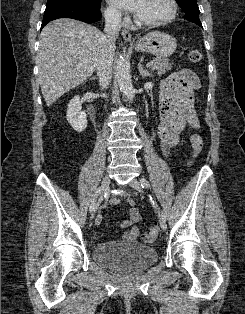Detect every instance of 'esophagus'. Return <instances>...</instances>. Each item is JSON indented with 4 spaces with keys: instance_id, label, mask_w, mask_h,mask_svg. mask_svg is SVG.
<instances>
[{
    "instance_id": "obj_1",
    "label": "esophagus",
    "mask_w": 245,
    "mask_h": 314,
    "mask_svg": "<svg viewBox=\"0 0 245 314\" xmlns=\"http://www.w3.org/2000/svg\"><path fill=\"white\" fill-rule=\"evenodd\" d=\"M121 34L126 42H132V35L128 30H122Z\"/></svg>"
}]
</instances>
